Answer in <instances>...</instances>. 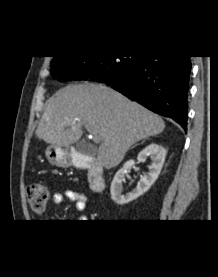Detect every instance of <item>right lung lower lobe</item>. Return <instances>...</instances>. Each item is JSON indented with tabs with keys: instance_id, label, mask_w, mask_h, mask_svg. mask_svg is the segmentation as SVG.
Here are the masks:
<instances>
[{
	"instance_id": "98d812e1",
	"label": "right lung lower lobe",
	"mask_w": 218,
	"mask_h": 277,
	"mask_svg": "<svg viewBox=\"0 0 218 277\" xmlns=\"http://www.w3.org/2000/svg\"><path fill=\"white\" fill-rule=\"evenodd\" d=\"M190 56H142L139 63L122 79L106 81L123 95L153 112L170 117L187 129Z\"/></svg>"
}]
</instances>
